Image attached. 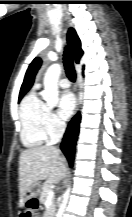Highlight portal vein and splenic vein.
Instances as JSON below:
<instances>
[{
  "instance_id": "obj_1",
  "label": "portal vein and splenic vein",
  "mask_w": 132,
  "mask_h": 217,
  "mask_svg": "<svg viewBox=\"0 0 132 217\" xmlns=\"http://www.w3.org/2000/svg\"><path fill=\"white\" fill-rule=\"evenodd\" d=\"M53 196H54V192H53V190H50L48 192V198H52Z\"/></svg>"
}]
</instances>
